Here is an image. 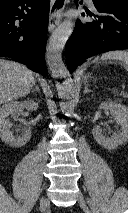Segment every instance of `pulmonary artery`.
<instances>
[{"label":"pulmonary artery","mask_w":128,"mask_h":213,"mask_svg":"<svg viewBox=\"0 0 128 213\" xmlns=\"http://www.w3.org/2000/svg\"><path fill=\"white\" fill-rule=\"evenodd\" d=\"M90 7L94 8V4L92 0H86Z\"/></svg>","instance_id":"e3ab8cb5"}]
</instances>
